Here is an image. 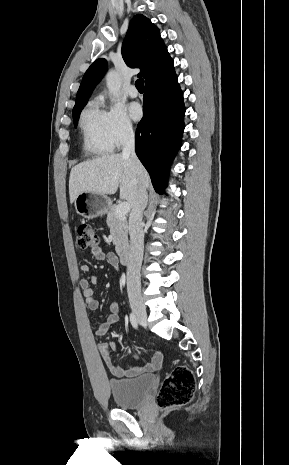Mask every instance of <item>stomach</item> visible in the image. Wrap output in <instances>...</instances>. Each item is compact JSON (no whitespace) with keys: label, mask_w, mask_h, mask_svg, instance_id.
<instances>
[{"label":"stomach","mask_w":289,"mask_h":465,"mask_svg":"<svg viewBox=\"0 0 289 465\" xmlns=\"http://www.w3.org/2000/svg\"><path fill=\"white\" fill-rule=\"evenodd\" d=\"M110 206L111 200L108 196L92 192H82L74 201L76 212L85 219L102 216Z\"/></svg>","instance_id":"stomach-1"}]
</instances>
